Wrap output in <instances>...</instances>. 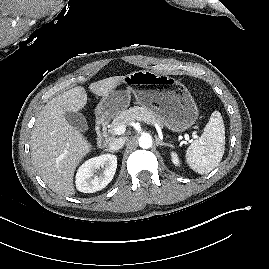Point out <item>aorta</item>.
Wrapping results in <instances>:
<instances>
[{"instance_id": "762f6f07", "label": "aorta", "mask_w": 269, "mask_h": 269, "mask_svg": "<svg viewBox=\"0 0 269 269\" xmlns=\"http://www.w3.org/2000/svg\"><path fill=\"white\" fill-rule=\"evenodd\" d=\"M139 146L143 149H148L152 146V138L150 135H142L139 138Z\"/></svg>"}]
</instances>
